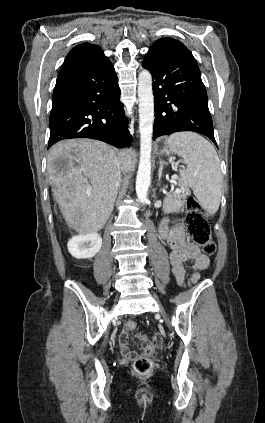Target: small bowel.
<instances>
[{"label":"small bowel","mask_w":265,"mask_h":423,"mask_svg":"<svg viewBox=\"0 0 265 423\" xmlns=\"http://www.w3.org/2000/svg\"><path fill=\"white\" fill-rule=\"evenodd\" d=\"M159 234L165 245L170 249L169 258L177 282L184 284L185 270L183 264L189 261L193 262L196 269L189 280V284L197 282L200 277L197 271L206 270L209 267L207 256L194 244L186 241L184 228L180 224L169 229L168 222L164 221L159 227ZM119 344L122 355L126 359L134 357L135 353L130 350L129 336L126 331L121 332Z\"/></svg>","instance_id":"small-bowel-1"}]
</instances>
